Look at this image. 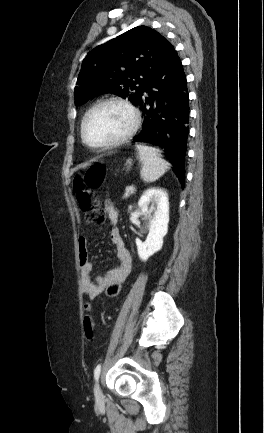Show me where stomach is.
Instances as JSON below:
<instances>
[{
    "label": "stomach",
    "instance_id": "obj_1",
    "mask_svg": "<svg viewBox=\"0 0 264 433\" xmlns=\"http://www.w3.org/2000/svg\"><path fill=\"white\" fill-rule=\"evenodd\" d=\"M126 165H127V168H130V166L132 165V159H127V161H126Z\"/></svg>",
    "mask_w": 264,
    "mask_h": 433
}]
</instances>
